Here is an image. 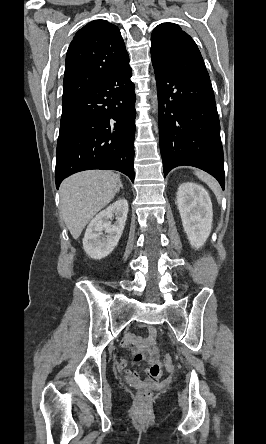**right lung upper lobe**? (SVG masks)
I'll return each mask as SVG.
<instances>
[{
    "instance_id": "right-lung-upper-lobe-1",
    "label": "right lung upper lobe",
    "mask_w": 266,
    "mask_h": 444,
    "mask_svg": "<svg viewBox=\"0 0 266 444\" xmlns=\"http://www.w3.org/2000/svg\"><path fill=\"white\" fill-rule=\"evenodd\" d=\"M129 60L117 26L94 20L74 36L66 54L63 101L69 104Z\"/></svg>"
}]
</instances>
